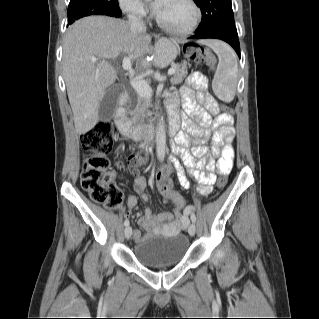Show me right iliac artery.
Instances as JSON below:
<instances>
[{
  "mask_svg": "<svg viewBox=\"0 0 319 319\" xmlns=\"http://www.w3.org/2000/svg\"><path fill=\"white\" fill-rule=\"evenodd\" d=\"M124 225H125V226H128V225H129V220H128V219H126V220L124 221Z\"/></svg>",
  "mask_w": 319,
  "mask_h": 319,
  "instance_id": "right-iliac-artery-1",
  "label": "right iliac artery"
}]
</instances>
